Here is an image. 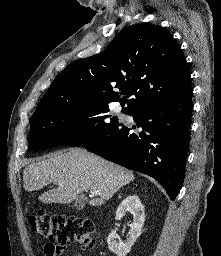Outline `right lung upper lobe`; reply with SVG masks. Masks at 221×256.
I'll list each match as a JSON object with an SVG mask.
<instances>
[{"instance_id":"cb5924a9","label":"right lung upper lobe","mask_w":221,"mask_h":256,"mask_svg":"<svg viewBox=\"0 0 221 256\" xmlns=\"http://www.w3.org/2000/svg\"><path fill=\"white\" fill-rule=\"evenodd\" d=\"M191 93L186 59L174 38L158 25L137 24L126 28L103 52L70 63L54 79L35 113L113 101L127 104L134 113L150 103ZM131 95L135 98L126 101Z\"/></svg>"}]
</instances>
